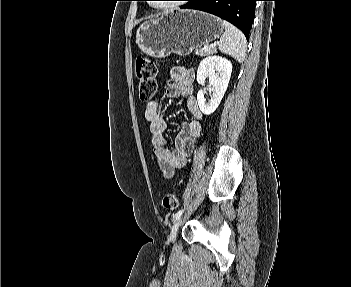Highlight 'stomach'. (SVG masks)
Returning a JSON list of instances; mask_svg holds the SVG:
<instances>
[{
	"instance_id": "1",
	"label": "stomach",
	"mask_w": 351,
	"mask_h": 287,
	"mask_svg": "<svg viewBox=\"0 0 351 287\" xmlns=\"http://www.w3.org/2000/svg\"><path fill=\"white\" fill-rule=\"evenodd\" d=\"M223 29L222 21L211 14L172 10L143 23L137 30L136 44L142 52L155 58L172 53L185 56L218 38Z\"/></svg>"
}]
</instances>
